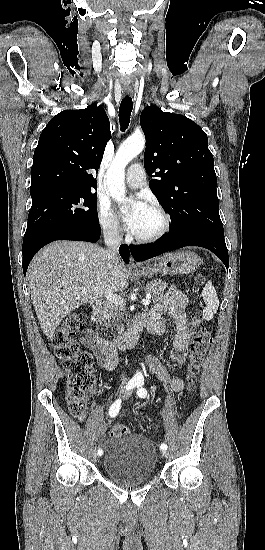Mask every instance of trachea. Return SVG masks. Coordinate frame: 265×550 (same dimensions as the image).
Wrapping results in <instances>:
<instances>
[{"mask_svg":"<svg viewBox=\"0 0 265 550\" xmlns=\"http://www.w3.org/2000/svg\"><path fill=\"white\" fill-rule=\"evenodd\" d=\"M133 109V102L130 96H125L119 108V122L121 131H125L130 123V116Z\"/></svg>","mask_w":265,"mask_h":550,"instance_id":"1","label":"trachea"}]
</instances>
